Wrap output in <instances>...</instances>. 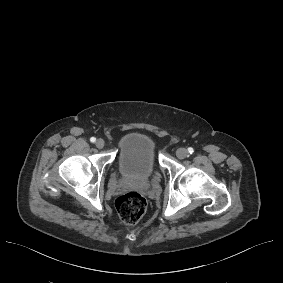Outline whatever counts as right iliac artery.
<instances>
[{
    "mask_svg": "<svg viewBox=\"0 0 283 283\" xmlns=\"http://www.w3.org/2000/svg\"><path fill=\"white\" fill-rule=\"evenodd\" d=\"M90 141H91L92 143H94V142L96 141V138L92 137V138L90 139Z\"/></svg>",
    "mask_w": 283,
    "mask_h": 283,
    "instance_id": "82829eb1",
    "label": "right iliac artery"
}]
</instances>
